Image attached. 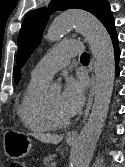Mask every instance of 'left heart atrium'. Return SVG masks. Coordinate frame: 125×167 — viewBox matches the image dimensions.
I'll return each mask as SVG.
<instances>
[{
    "label": "left heart atrium",
    "instance_id": "1",
    "mask_svg": "<svg viewBox=\"0 0 125 167\" xmlns=\"http://www.w3.org/2000/svg\"><path fill=\"white\" fill-rule=\"evenodd\" d=\"M86 83L81 78L69 76L60 94V104L64 113L69 117L80 111L85 101Z\"/></svg>",
    "mask_w": 125,
    "mask_h": 167
}]
</instances>
